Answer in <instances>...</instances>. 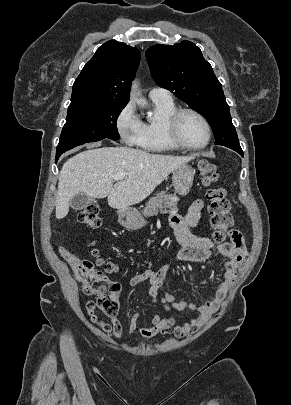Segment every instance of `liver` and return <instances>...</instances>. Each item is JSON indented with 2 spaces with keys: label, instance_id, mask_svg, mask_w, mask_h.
I'll list each match as a JSON object with an SVG mask.
<instances>
[{
  "label": "liver",
  "instance_id": "obj_1",
  "mask_svg": "<svg viewBox=\"0 0 291 405\" xmlns=\"http://www.w3.org/2000/svg\"><path fill=\"white\" fill-rule=\"evenodd\" d=\"M192 157L150 154L127 147L86 150L68 159L59 174L56 218L69 212L73 197L84 193L93 198L108 197L112 208L127 209L148 197L167 176ZM126 172L114 185L113 175Z\"/></svg>",
  "mask_w": 291,
  "mask_h": 405
}]
</instances>
